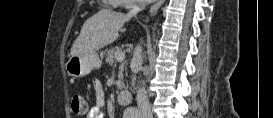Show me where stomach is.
I'll return each mask as SVG.
<instances>
[{"label":"stomach","mask_w":273,"mask_h":118,"mask_svg":"<svg viewBox=\"0 0 273 118\" xmlns=\"http://www.w3.org/2000/svg\"><path fill=\"white\" fill-rule=\"evenodd\" d=\"M101 59L96 52L71 56L66 63V70L69 76L81 78L90 74L93 69L101 67Z\"/></svg>","instance_id":"1"}]
</instances>
